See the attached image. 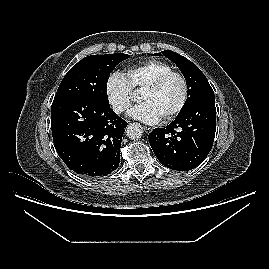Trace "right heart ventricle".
Instances as JSON below:
<instances>
[{
	"label": "right heart ventricle",
	"instance_id": "1",
	"mask_svg": "<svg viewBox=\"0 0 269 269\" xmlns=\"http://www.w3.org/2000/svg\"><path fill=\"white\" fill-rule=\"evenodd\" d=\"M170 64L156 59L147 60L130 67L126 78L133 89H143L164 73L172 71Z\"/></svg>",
	"mask_w": 269,
	"mask_h": 269
}]
</instances>
